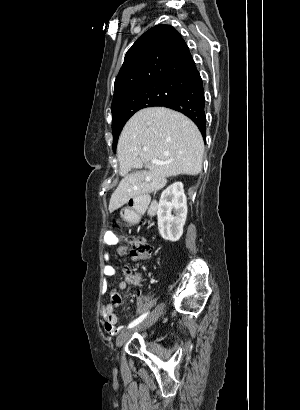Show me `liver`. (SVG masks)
Wrapping results in <instances>:
<instances>
[{
	"label": "liver",
	"instance_id": "6515ba94",
	"mask_svg": "<svg viewBox=\"0 0 300 410\" xmlns=\"http://www.w3.org/2000/svg\"><path fill=\"white\" fill-rule=\"evenodd\" d=\"M203 153L201 133L188 117L165 107L140 110L126 123L118 140L123 179L111 196L109 212L131 198L160 190L168 177L199 174ZM153 159L163 164H153ZM143 163L148 171L128 174Z\"/></svg>",
	"mask_w": 300,
	"mask_h": 410
}]
</instances>
